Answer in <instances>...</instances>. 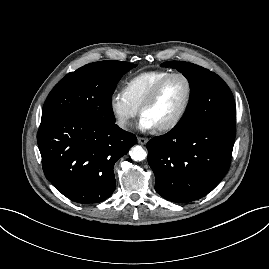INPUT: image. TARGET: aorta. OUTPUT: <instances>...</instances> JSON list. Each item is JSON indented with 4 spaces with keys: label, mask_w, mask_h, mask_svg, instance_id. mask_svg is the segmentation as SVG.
Masks as SVG:
<instances>
[{
    "label": "aorta",
    "mask_w": 269,
    "mask_h": 269,
    "mask_svg": "<svg viewBox=\"0 0 269 269\" xmlns=\"http://www.w3.org/2000/svg\"><path fill=\"white\" fill-rule=\"evenodd\" d=\"M130 156L134 161H142L147 157V152L143 149V147L136 145L131 148Z\"/></svg>",
    "instance_id": "1"
}]
</instances>
